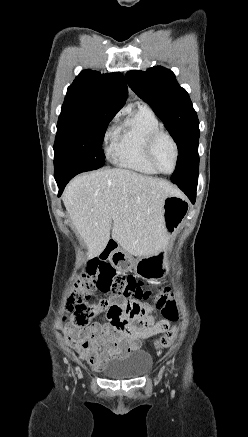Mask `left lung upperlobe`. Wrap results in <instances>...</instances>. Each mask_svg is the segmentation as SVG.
Masks as SVG:
<instances>
[{
    "mask_svg": "<svg viewBox=\"0 0 248 437\" xmlns=\"http://www.w3.org/2000/svg\"><path fill=\"white\" fill-rule=\"evenodd\" d=\"M130 88L164 122L175 140L179 159L171 181L191 184L198 181L199 121L188 93L179 86L174 73L161 66L126 74Z\"/></svg>",
    "mask_w": 248,
    "mask_h": 437,
    "instance_id": "5c2ea615",
    "label": "left lung upper lobe"
}]
</instances>
